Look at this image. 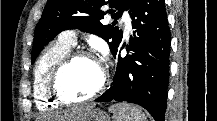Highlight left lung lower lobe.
<instances>
[{
  "label": "left lung lower lobe",
  "mask_w": 217,
  "mask_h": 121,
  "mask_svg": "<svg viewBox=\"0 0 217 121\" xmlns=\"http://www.w3.org/2000/svg\"><path fill=\"white\" fill-rule=\"evenodd\" d=\"M129 13L134 38L120 43L114 58L117 70L111 87L95 101H120L144 107L164 121L169 84L171 33L164 0H133ZM131 51L121 56L123 48Z\"/></svg>",
  "instance_id": "left-lung-lower-lobe-1"
}]
</instances>
